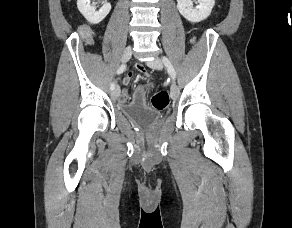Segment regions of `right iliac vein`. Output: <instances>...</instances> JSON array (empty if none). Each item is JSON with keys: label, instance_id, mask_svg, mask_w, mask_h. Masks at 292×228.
Listing matches in <instances>:
<instances>
[{"label": "right iliac vein", "instance_id": "1", "mask_svg": "<svg viewBox=\"0 0 292 228\" xmlns=\"http://www.w3.org/2000/svg\"><path fill=\"white\" fill-rule=\"evenodd\" d=\"M132 55V48L131 46L126 47V49L123 52L122 55V62L126 63L127 61H129V59L131 58ZM120 95V89L119 87H116L113 91H112V97L114 99L118 98Z\"/></svg>", "mask_w": 292, "mask_h": 228}]
</instances>
